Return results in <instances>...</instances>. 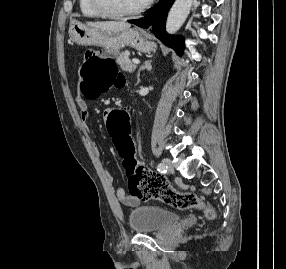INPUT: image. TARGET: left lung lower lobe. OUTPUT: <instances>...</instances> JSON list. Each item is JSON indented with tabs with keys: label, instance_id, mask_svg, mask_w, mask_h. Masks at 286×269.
<instances>
[{
	"label": "left lung lower lobe",
	"instance_id": "left-lung-lower-lobe-1",
	"mask_svg": "<svg viewBox=\"0 0 286 269\" xmlns=\"http://www.w3.org/2000/svg\"><path fill=\"white\" fill-rule=\"evenodd\" d=\"M175 0H160L156 6L147 11L148 15L144 19L130 20L129 23L140 27H148L152 25V32L165 45L173 48L179 55L184 49V40L180 36L168 35L165 31V22L167 12L171 8Z\"/></svg>",
	"mask_w": 286,
	"mask_h": 269
}]
</instances>
